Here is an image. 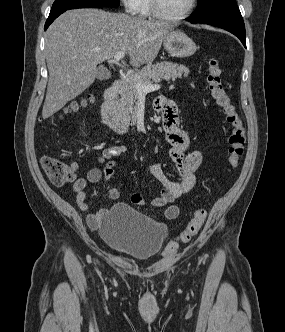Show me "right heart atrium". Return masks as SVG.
Wrapping results in <instances>:
<instances>
[{
	"label": "right heart atrium",
	"instance_id": "1",
	"mask_svg": "<svg viewBox=\"0 0 285 332\" xmlns=\"http://www.w3.org/2000/svg\"><path fill=\"white\" fill-rule=\"evenodd\" d=\"M142 0H121L125 11L129 14L135 15L140 10Z\"/></svg>",
	"mask_w": 285,
	"mask_h": 332
}]
</instances>
